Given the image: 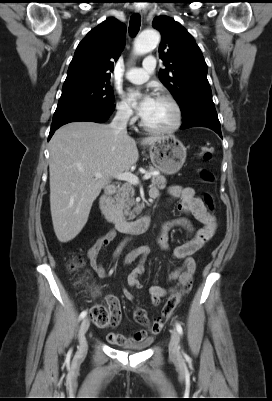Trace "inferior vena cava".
<instances>
[{
  "mask_svg": "<svg viewBox=\"0 0 272 401\" xmlns=\"http://www.w3.org/2000/svg\"><path fill=\"white\" fill-rule=\"evenodd\" d=\"M130 117L129 110H120L116 113L112 122L110 123V127L113 129L115 135L128 136L127 134V122Z\"/></svg>",
  "mask_w": 272,
  "mask_h": 401,
  "instance_id": "1",
  "label": "inferior vena cava"
}]
</instances>
